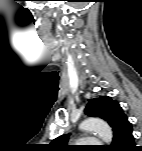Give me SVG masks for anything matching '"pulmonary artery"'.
Here are the masks:
<instances>
[{"label": "pulmonary artery", "instance_id": "e3ab8cb5", "mask_svg": "<svg viewBox=\"0 0 142 151\" xmlns=\"http://www.w3.org/2000/svg\"><path fill=\"white\" fill-rule=\"evenodd\" d=\"M78 144H89V145H97L100 143L98 139L95 138H81L76 141Z\"/></svg>", "mask_w": 142, "mask_h": 151}]
</instances>
